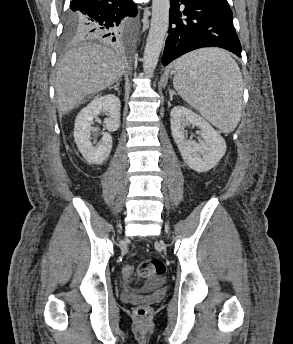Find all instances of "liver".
<instances>
[{
  "mask_svg": "<svg viewBox=\"0 0 293 344\" xmlns=\"http://www.w3.org/2000/svg\"><path fill=\"white\" fill-rule=\"evenodd\" d=\"M122 58L106 47L88 44L68 51L56 75L58 111L67 114L90 94L118 82L124 73Z\"/></svg>",
  "mask_w": 293,
  "mask_h": 344,
  "instance_id": "1",
  "label": "liver"
}]
</instances>
